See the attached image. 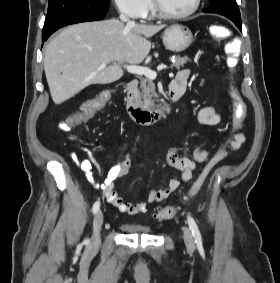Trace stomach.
<instances>
[{"instance_id": "obj_1", "label": "stomach", "mask_w": 280, "mask_h": 283, "mask_svg": "<svg viewBox=\"0 0 280 283\" xmlns=\"http://www.w3.org/2000/svg\"><path fill=\"white\" fill-rule=\"evenodd\" d=\"M162 40L166 49L178 53L192 44L193 35L186 26L173 24L165 29Z\"/></svg>"}]
</instances>
